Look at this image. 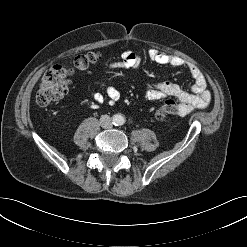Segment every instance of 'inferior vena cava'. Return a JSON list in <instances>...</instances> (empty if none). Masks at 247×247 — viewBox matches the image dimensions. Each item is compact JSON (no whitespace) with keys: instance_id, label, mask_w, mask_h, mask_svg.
<instances>
[{"instance_id":"1","label":"inferior vena cava","mask_w":247,"mask_h":247,"mask_svg":"<svg viewBox=\"0 0 247 247\" xmlns=\"http://www.w3.org/2000/svg\"><path fill=\"white\" fill-rule=\"evenodd\" d=\"M100 125L103 128H111L112 127V119L108 115H102L100 118Z\"/></svg>"}]
</instances>
